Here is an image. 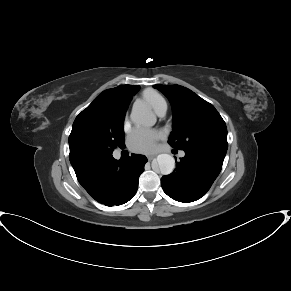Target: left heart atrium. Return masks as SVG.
Wrapping results in <instances>:
<instances>
[{
  "mask_svg": "<svg viewBox=\"0 0 291 291\" xmlns=\"http://www.w3.org/2000/svg\"><path fill=\"white\" fill-rule=\"evenodd\" d=\"M161 137V133L157 130L135 128L128 139L129 148L139 153L152 152Z\"/></svg>",
  "mask_w": 291,
  "mask_h": 291,
  "instance_id": "obj_1",
  "label": "left heart atrium"
}]
</instances>
